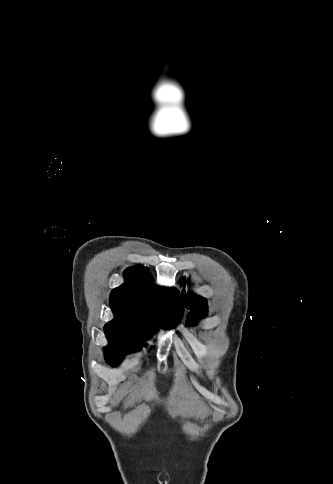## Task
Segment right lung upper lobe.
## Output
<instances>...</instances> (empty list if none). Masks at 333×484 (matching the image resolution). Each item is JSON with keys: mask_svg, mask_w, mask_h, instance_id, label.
Segmentation results:
<instances>
[{"mask_svg": "<svg viewBox=\"0 0 333 484\" xmlns=\"http://www.w3.org/2000/svg\"><path fill=\"white\" fill-rule=\"evenodd\" d=\"M125 283L112 290L113 323H127L151 334L157 326L174 327L182 317L183 305L176 289L152 286L148 268L136 266L124 273Z\"/></svg>", "mask_w": 333, "mask_h": 484, "instance_id": "1", "label": "right lung upper lobe"}]
</instances>
